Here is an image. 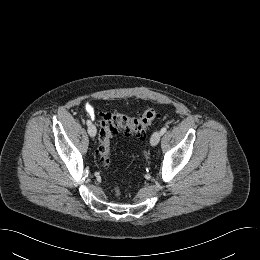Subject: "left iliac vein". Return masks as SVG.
Returning <instances> with one entry per match:
<instances>
[{"instance_id":"left-iliac-vein-1","label":"left iliac vein","mask_w":260,"mask_h":260,"mask_svg":"<svg viewBox=\"0 0 260 260\" xmlns=\"http://www.w3.org/2000/svg\"><path fill=\"white\" fill-rule=\"evenodd\" d=\"M161 132L160 131H156L153 133V135L151 136V139H150V143L152 146H156L160 139H161Z\"/></svg>"}]
</instances>
